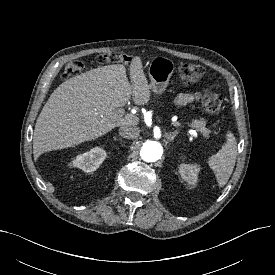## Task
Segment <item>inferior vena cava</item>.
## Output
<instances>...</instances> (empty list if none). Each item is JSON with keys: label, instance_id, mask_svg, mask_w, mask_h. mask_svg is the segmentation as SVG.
I'll list each match as a JSON object with an SVG mask.
<instances>
[{"label": "inferior vena cava", "instance_id": "inferior-vena-cava-1", "mask_svg": "<svg viewBox=\"0 0 275 275\" xmlns=\"http://www.w3.org/2000/svg\"><path fill=\"white\" fill-rule=\"evenodd\" d=\"M119 134L126 139H135L140 134V129L134 125H122Z\"/></svg>", "mask_w": 275, "mask_h": 275}]
</instances>
